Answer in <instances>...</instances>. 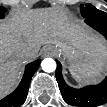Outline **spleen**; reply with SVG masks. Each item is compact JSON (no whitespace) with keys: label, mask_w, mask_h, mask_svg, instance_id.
Returning <instances> with one entry per match:
<instances>
[{"label":"spleen","mask_w":107,"mask_h":107,"mask_svg":"<svg viewBox=\"0 0 107 107\" xmlns=\"http://www.w3.org/2000/svg\"><path fill=\"white\" fill-rule=\"evenodd\" d=\"M107 53L96 59L94 62H82L69 67L71 75L78 83L96 81L102 77L106 68Z\"/></svg>","instance_id":"spleen-1"}]
</instances>
